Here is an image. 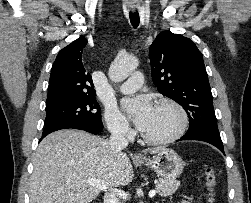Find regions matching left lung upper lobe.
Returning <instances> with one entry per match:
<instances>
[{"instance_id":"1","label":"left lung upper lobe","mask_w":251,"mask_h":203,"mask_svg":"<svg viewBox=\"0 0 251 203\" xmlns=\"http://www.w3.org/2000/svg\"><path fill=\"white\" fill-rule=\"evenodd\" d=\"M149 56L158 91L179 103L188 114L187 133L219 132L203 55L194 42L163 31L151 44Z\"/></svg>"}]
</instances>
